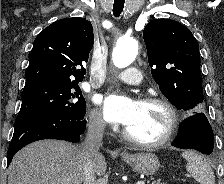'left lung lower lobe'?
<instances>
[{
  "mask_svg": "<svg viewBox=\"0 0 224 184\" xmlns=\"http://www.w3.org/2000/svg\"><path fill=\"white\" fill-rule=\"evenodd\" d=\"M172 145L177 148L195 149L204 154H211L214 147V135L205 114L194 113L182 122L179 134Z\"/></svg>",
  "mask_w": 224,
  "mask_h": 184,
  "instance_id": "left-lung-lower-lobe-1",
  "label": "left lung lower lobe"
}]
</instances>
